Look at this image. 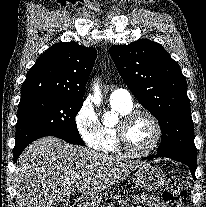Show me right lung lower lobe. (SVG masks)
I'll list each match as a JSON object with an SVG mask.
<instances>
[{
  "mask_svg": "<svg viewBox=\"0 0 206 207\" xmlns=\"http://www.w3.org/2000/svg\"><path fill=\"white\" fill-rule=\"evenodd\" d=\"M25 148V147H24ZM24 148H20L17 150H14V163L17 161L19 155L21 154V152L24 150Z\"/></svg>",
  "mask_w": 206,
  "mask_h": 207,
  "instance_id": "obj_1",
  "label": "right lung lower lobe"
}]
</instances>
